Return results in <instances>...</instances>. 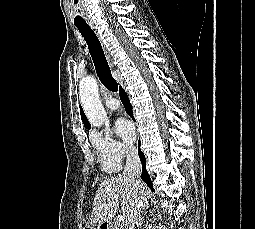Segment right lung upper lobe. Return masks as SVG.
<instances>
[{"instance_id":"obj_1","label":"right lung upper lobe","mask_w":255,"mask_h":229,"mask_svg":"<svg viewBox=\"0 0 255 229\" xmlns=\"http://www.w3.org/2000/svg\"><path fill=\"white\" fill-rule=\"evenodd\" d=\"M80 114H81V119L84 124V127L89 130L91 128V125H90L88 119L86 118L83 110H80Z\"/></svg>"}]
</instances>
